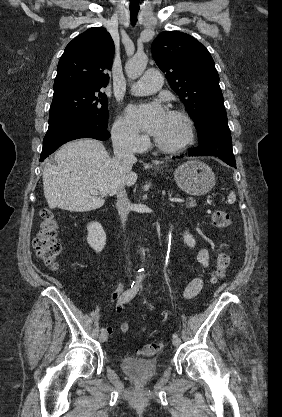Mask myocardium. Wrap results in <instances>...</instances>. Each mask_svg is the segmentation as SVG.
Here are the masks:
<instances>
[{
    "label": "myocardium",
    "mask_w": 282,
    "mask_h": 417,
    "mask_svg": "<svg viewBox=\"0 0 282 417\" xmlns=\"http://www.w3.org/2000/svg\"><path fill=\"white\" fill-rule=\"evenodd\" d=\"M166 114L170 116H174L182 121L183 126H184V136L175 143L162 142L160 139H158L155 136L154 141L156 145L161 149L169 150V151L179 150L189 145L193 141V138H194V128H193V123L190 117L187 114L181 111H177V110H169L167 111Z\"/></svg>",
    "instance_id": "f54148a6"
}]
</instances>
